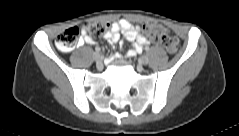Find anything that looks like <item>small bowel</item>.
<instances>
[{
	"instance_id": "c3829d8e",
	"label": "small bowel",
	"mask_w": 239,
	"mask_h": 136,
	"mask_svg": "<svg viewBox=\"0 0 239 136\" xmlns=\"http://www.w3.org/2000/svg\"><path fill=\"white\" fill-rule=\"evenodd\" d=\"M121 33L124 35L125 39L132 44V49L127 52L129 57H134L137 53L142 51L145 45L149 44V41L144 36L139 34V27L126 19H120L112 23L110 29L104 37L109 43L114 44L119 41ZM81 42L94 44L95 40L90 36L83 34Z\"/></svg>"
}]
</instances>
